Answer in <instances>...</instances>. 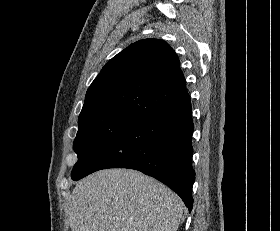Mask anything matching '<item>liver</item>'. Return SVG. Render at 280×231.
<instances>
[{
	"mask_svg": "<svg viewBox=\"0 0 280 231\" xmlns=\"http://www.w3.org/2000/svg\"><path fill=\"white\" fill-rule=\"evenodd\" d=\"M72 231H177L182 201L136 169H100L77 181L67 205Z\"/></svg>",
	"mask_w": 280,
	"mask_h": 231,
	"instance_id": "6515ba94",
	"label": "liver"
}]
</instances>
